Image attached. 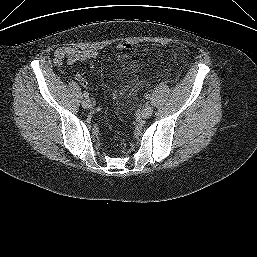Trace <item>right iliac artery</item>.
<instances>
[{"label":"right iliac artery","mask_w":257,"mask_h":257,"mask_svg":"<svg viewBox=\"0 0 257 257\" xmlns=\"http://www.w3.org/2000/svg\"><path fill=\"white\" fill-rule=\"evenodd\" d=\"M83 96H84L86 99H88V98H89V93L86 92V91H84Z\"/></svg>","instance_id":"1"}]
</instances>
